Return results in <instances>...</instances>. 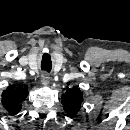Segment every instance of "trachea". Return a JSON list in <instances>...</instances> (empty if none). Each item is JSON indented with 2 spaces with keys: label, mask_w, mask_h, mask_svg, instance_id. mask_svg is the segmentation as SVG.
Segmentation results:
<instances>
[{
  "label": "trachea",
  "mask_w": 130,
  "mask_h": 130,
  "mask_svg": "<svg viewBox=\"0 0 130 130\" xmlns=\"http://www.w3.org/2000/svg\"><path fill=\"white\" fill-rule=\"evenodd\" d=\"M41 69L47 72L51 71V63L42 62Z\"/></svg>",
  "instance_id": "3493384b"
}]
</instances>
